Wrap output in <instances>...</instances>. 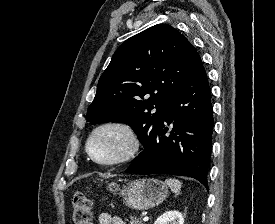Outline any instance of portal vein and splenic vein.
Listing matches in <instances>:
<instances>
[{"label": "portal vein and splenic vein", "mask_w": 275, "mask_h": 224, "mask_svg": "<svg viewBox=\"0 0 275 224\" xmlns=\"http://www.w3.org/2000/svg\"><path fill=\"white\" fill-rule=\"evenodd\" d=\"M148 220H149V217H148V216H144V217H143V221H144V222H147Z\"/></svg>", "instance_id": "1"}]
</instances>
